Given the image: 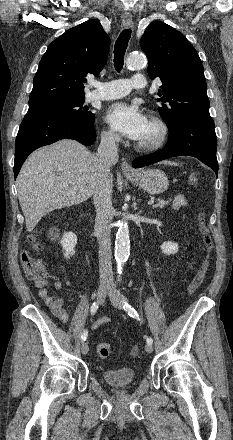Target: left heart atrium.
<instances>
[{
  "mask_svg": "<svg viewBox=\"0 0 233 440\" xmlns=\"http://www.w3.org/2000/svg\"><path fill=\"white\" fill-rule=\"evenodd\" d=\"M106 122L121 135L133 140H140L148 120L135 105L117 102L108 107L105 113Z\"/></svg>",
  "mask_w": 233,
  "mask_h": 440,
  "instance_id": "left-heart-atrium-1",
  "label": "left heart atrium"
}]
</instances>
